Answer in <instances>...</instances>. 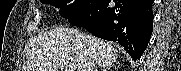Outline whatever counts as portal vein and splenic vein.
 Wrapping results in <instances>:
<instances>
[{"label":"portal vein and splenic vein","mask_w":181,"mask_h":71,"mask_svg":"<svg viewBox=\"0 0 181 71\" xmlns=\"http://www.w3.org/2000/svg\"><path fill=\"white\" fill-rule=\"evenodd\" d=\"M65 71H74V69L72 67H66Z\"/></svg>","instance_id":"1"}]
</instances>
